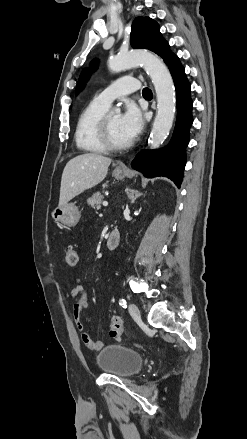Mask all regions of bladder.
I'll return each instance as SVG.
<instances>
[{
  "instance_id": "bladder-1",
  "label": "bladder",
  "mask_w": 247,
  "mask_h": 439,
  "mask_svg": "<svg viewBox=\"0 0 247 439\" xmlns=\"http://www.w3.org/2000/svg\"><path fill=\"white\" fill-rule=\"evenodd\" d=\"M96 360L101 371L118 377H131L143 366V357L138 351L116 344L103 348Z\"/></svg>"
}]
</instances>
